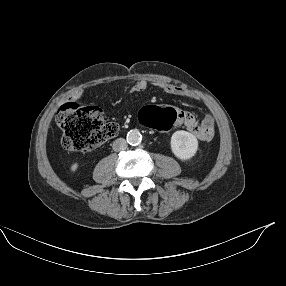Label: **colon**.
Here are the masks:
<instances>
[{"label":"colon","mask_w":286,"mask_h":286,"mask_svg":"<svg viewBox=\"0 0 286 286\" xmlns=\"http://www.w3.org/2000/svg\"><path fill=\"white\" fill-rule=\"evenodd\" d=\"M177 122L170 107L147 106L140 113L139 124L156 132L168 133ZM56 123L62 130V146L72 152H89L119 131L117 123L107 120L98 106H80L73 102L62 104L56 113Z\"/></svg>","instance_id":"5ec220e1"}]
</instances>
